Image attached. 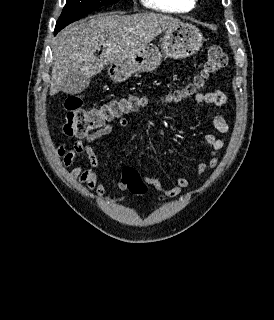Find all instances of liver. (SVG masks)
<instances>
[{"instance_id":"6515ba94","label":"liver","mask_w":274,"mask_h":320,"mask_svg":"<svg viewBox=\"0 0 274 320\" xmlns=\"http://www.w3.org/2000/svg\"><path fill=\"white\" fill-rule=\"evenodd\" d=\"M178 24L180 20L164 14L122 16L118 12L97 14L70 24L54 40L50 96L60 90L78 94L75 82L79 78L89 80L108 64L134 58L164 30ZM100 46L103 50L97 58L95 52Z\"/></svg>"}]
</instances>
